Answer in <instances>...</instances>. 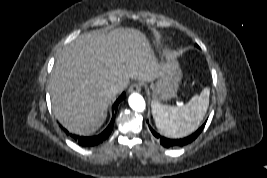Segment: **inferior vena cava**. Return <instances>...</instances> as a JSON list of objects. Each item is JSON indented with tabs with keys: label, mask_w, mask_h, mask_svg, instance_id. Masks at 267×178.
<instances>
[{
	"label": "inferior vena cava",
	"mask_w": 267,
	"mask_h": 178,
	"mask_svg": "<svg viewBox=\"0 0 267 178\" xmlns=\"http://www.w3.org/2000/svg\"><path fill=\"white\" fill-rule=\"evenodd\" d=\"M121 88L117 84H111L107 88V92L111 95H116L120 92Z\"/></svg>",
	"instance_id": "602c4592"
}]
</instances>
